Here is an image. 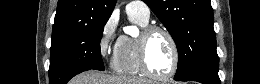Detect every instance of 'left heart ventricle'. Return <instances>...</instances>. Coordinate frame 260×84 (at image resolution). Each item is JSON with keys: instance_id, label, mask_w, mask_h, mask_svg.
<instances>
[{"instance_id": "obj_1", "label": "left heart ventricle", "mask_w": 260, "mask_h": 84, "mask_svg": "<svg viewBox=\"0 0 260 84\" xmlns=\"http://www.w3.org/2000/svg\"><path fill=\"white\" fill-rule=\"evenodd\" d=\"M148 63L151 70L160 75L170 72L173 53L168 38L161 32L154 33L148 42Z\"/></svg>"}]
</instances>
